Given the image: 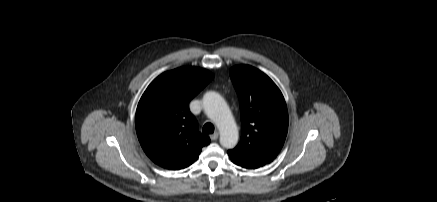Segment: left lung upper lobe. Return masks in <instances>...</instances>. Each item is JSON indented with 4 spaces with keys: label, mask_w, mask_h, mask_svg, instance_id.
<instances>
[{
    "label": "left lung upper lobe",
    "mask_w": 437,
    "mask_h": 202,
    "mask_svg": "<svg viewBox=\"0 0 437 202\" xmlns=\"http://www.w3.org/2000/svg\"><path fill=\"white\" fill-rule=\"evenodd\" d=\"M230 77L240 101L241 140L229 156L252 168L273 161L280 152L288 130V112L276 84L249 65L230 69Z\"/></svg>",
    "instance_id": "obj_1"
}]
</instances>
